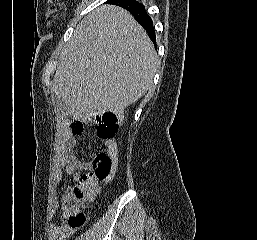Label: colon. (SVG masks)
<instances>
[{
  "instance_id": "1",
  "label": "colon",
  "mask_w": 257,
  "mask_h": 240,
  "mask_svg": "<svg viewBox=\"0 0 257 240\" xmlns=\"http://www.w3.org/2000/svg\"><path fill=\"white\" fill-rule=\"evenodd\" d=\"M93 121L97 126L98 138L102 141L113 139L118 131L119 118L115 113H96ZM83 128L80 121H73L68 125V129L76 134H80ZM114 167L115 159L107 152H99L91 163L90 171L80 177L77 185L63 199L62 215L69 228L77 230L85 225L86 215L80 206L98 192L102 183L110 179Z\"/></svg>"
}]
</instances>
